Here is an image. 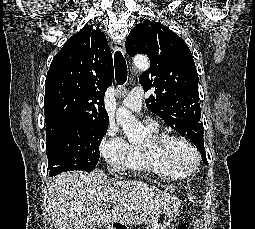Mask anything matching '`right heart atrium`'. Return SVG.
Returning <instances> with one entry per match:
<instances>
[{
  "instance_id": "d8ad5b80",
  "label": "right heart atrium",
  "mask_w": 255,
  "mask_h": 229,
  "mask_svg": "<svg viewBox=\"0 0 255 229\" xmlns=\"http://www.w3.org/2000/svg\"><path fill=\"white\" fill-rule=\"evenodd\" d=\"M129 151V144L116 127H109L101 144L100 152L112 169H122Z\"/></svg>"
}]
</instances>
